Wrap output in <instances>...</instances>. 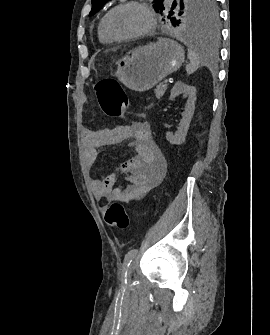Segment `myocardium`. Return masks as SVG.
Instances as JSON below:
<instances>
[{
	"label": "myocardium",
	"instance_id": "1",
	"mask_svg": "<svg viewBox=\"0 0 270 335\" xmlns=\"http://www.w3.org/2000/svg\"><path fill=\"white\" fill-rule=\"evenodd\" d=\"M124 5H138L139 7H141V9L144 11V13L146 14V16L148 17L149 20V24L148 27L138 33H133V34H127V35H121V34H117L115 33L110 26V18L112 16V14L118 10L119 8H121ZM157 24V19L155 17V14L151 11V9L144 3L142 2H138L135 0H129V1H123L119 4H117L115 7H113L105 16L104 18V29L106 31V33L112 37L113 39L116 40H136V39H140L143 38L145 36H148L149 34H151ZM141 49L137 48L135 50H132L131 52H140Z\"/></svg>",
	"mask_w": 270,
	"mask_h": 335
}]
</instances>
